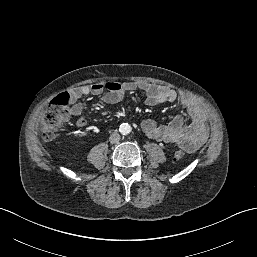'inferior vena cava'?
<instances>
[{
  "instance_id": "inferior-vena-cava-1",
  "label": "inferior vena cava",
  "mask_w": 257,
  "mask_h": 257,
  "mask_svg": "<svg viewBox=\"0 0 257 257\" xmlns=\"http://www.w3.org/2000/svg\"><path fill=\"white\" fill-rule=\"evenodd\" d=\"M120 140V134L117 132H114L110 135L109 141L110 143L114 144V143H118Z\"/></svg>"
}]
</instances>
